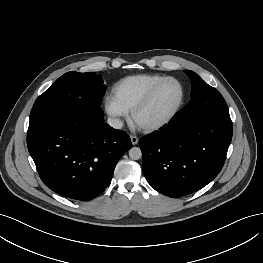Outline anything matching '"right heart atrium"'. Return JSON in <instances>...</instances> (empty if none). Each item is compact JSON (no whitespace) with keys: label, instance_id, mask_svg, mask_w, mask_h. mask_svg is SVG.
I'll use <instances>...</instances> for the list:
<instances>
[{"label":"right heart atrium","instance_id":"1","mask_svg":"<svg viewBox=\"0 0 263 263\" xmlns=\"http://www.w3.org/2000/svg\"><path fill=\"white\" fill-rule=\"evenodd\" d=\"M104 110L106 114L115 122L125 117L126 113L113 101L111 96H107L104 100Z\"/></svg>","mask_w":263,"mask_h":263}]
</instances>
